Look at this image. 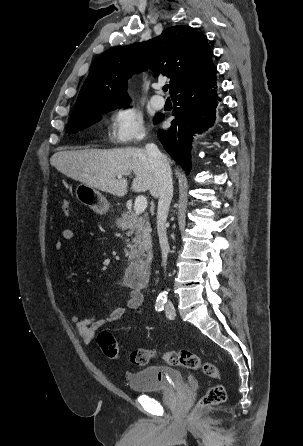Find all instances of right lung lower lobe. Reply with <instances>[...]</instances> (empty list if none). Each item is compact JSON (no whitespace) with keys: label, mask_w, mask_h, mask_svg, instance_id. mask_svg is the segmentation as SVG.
<instances>
[{"label":"right lung lower lobe","mask_w":303,"mask_h":446,"mask_svg":"<svg viewBox=\"0 0 303 446\" xmlns=\"http://www.w3.org/2000/svg\"><path fill=\"white\" fill-rule=\"evenodd\" d=\"M216 75L175 92L172 115L175 119L168 130H159L158 139L165 150L188 174L191 169L190 149L194 133L202 132L215 121L216 107L221 101L218 96ZM178 106V107H176ZM159 115L156 122L163 119Z\"/></svg>","instance_id":"right-lung-lower-lobe-1"}]
</instances>
